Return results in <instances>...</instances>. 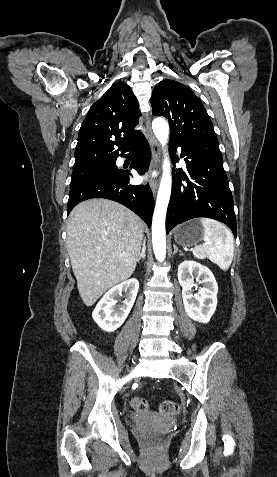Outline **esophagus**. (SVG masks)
Returning a JSON list of instances; mask_svg holds the SVG:
<instances>
[{
	"label": "esophagus",
	"mask_w": 277,
	"mask_h": 477,
	"mask_svg": "<svg viewBox=\"0 0 277 477\" xmlns=\"http://www.w3.org/2000/svg\"><path fill=\"white\" fill-rule=\"evenodd\" d=\"M146 128L149 133V144L151 148V154H152V159H151V168L152 170L156 171L160 167V147L159 144L154 137V135L151 132L150 128V119L149 116L146 115ZM150 187L152 190L153 195L156 194L157 189H158V178L157 177H152L150 179Z\"/></svg>",
	"instance_id": "esophagus-1"
}]
</instances>
